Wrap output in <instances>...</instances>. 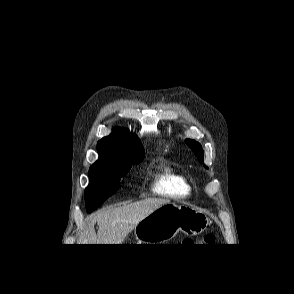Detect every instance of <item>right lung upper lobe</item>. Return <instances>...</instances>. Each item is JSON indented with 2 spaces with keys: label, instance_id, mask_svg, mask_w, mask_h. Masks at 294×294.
I'll return each instance as SVG.
<instances>
[{
  "label": "right lung upper lobe",
  "instance_id": "obj_1",
  "mask_svg": "<svg viewBox=\"0 0 294 294\" xmlns=\"http://www.w3.org/2000/svg\"><path fill=\"white\" fill-rule=\"evenodd\" d=\"M97 150L100 159H136L144 156L138 137L122 128H115L111 135L102 138Z\"/></svg>",
  "mask_w": 294,
  "mask_h": 294
}]
</instances>
